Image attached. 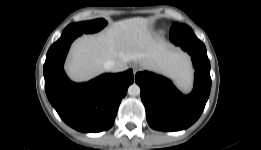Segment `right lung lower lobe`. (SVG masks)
I'll return each mask as SVG.
<instances>
[{
  "mask_svg": "<svg viewBox=\"0 0 261 150\" xmlns=\"http://www.w3.org/2000/svg\"><path fill=\"white\" fill-rule=\"evenodd\" d=\"M82 33L64 32L49 49L44 64L47 97L59 116L81 132H100L112 127L121 99L133 83V71L104 74L83 84L71 82L63 63L72 41Z\"/></svg>",
  "mask_w": 261,
  "mask_h": 150,
  "instance_id": "98d812e1",
  "label": "right lung lower lobe"
}]
</instances>
